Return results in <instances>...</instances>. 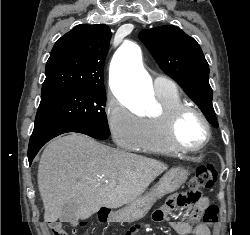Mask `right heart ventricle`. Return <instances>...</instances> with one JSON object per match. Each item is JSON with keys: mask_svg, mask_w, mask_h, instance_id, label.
<instances>
[{"mask_svg": "<svg viewBox=\"0 0 250 235\" xmlns=\"http://www.w3.org/2000/svg\"><path fill=\"white\" fill-rule=\"evenodd\" d=\"M155 97L161 111L157 115L143 118V138L137 150L153 154H177L178 150L167 138L166 114L183 102L177 89L172 92L155 91Z\"/></svg>", "mask_w": 250, "mask_h": 235, "instance_id": "right-heart-ventricle-1", "label": "right heart ventricle"}]
</instances>
